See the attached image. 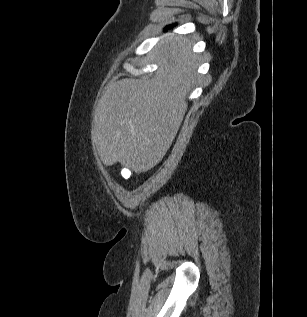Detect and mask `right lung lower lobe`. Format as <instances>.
<instances>
[{
	"label": "right lung lower lobe",
	"instance_id": "1",
	"mask_svg": "<svg viewBox=\"0 0 307 317\" xmlns=\"http://www.w3.org/2000/svg\"><path fill=\"white\" fill-rule=\"evenodd\" d=\"M171 27H172V25H171V26H169V27H167V28H166V30H167L168 28H171Z\"/></svg>",
	"mask_w": 307,
	"mask_h": 317
}]
</instances>
